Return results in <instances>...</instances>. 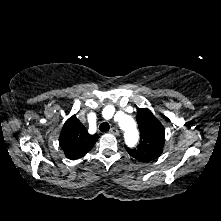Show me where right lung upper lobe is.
I'll use <instances>...</instances> for the list:
<instances>
[{
	"label": "right lung upper lobe",
	"instance_id": "cb5924a9",
	"mask_svg": "<svg viewBox=\"0 0 221 221\" xmlns=\"http://www.w3.org/2000/svg\"><path fill=\"white\" fill-rule=\"evenodd\" d=\"M98 135H90L75 115L64 124L59 144L66 158L76 160L92 149L98 140Z\"/></svg>",
	"mask_w": 221,
	"mask_h": 221
}]
</instances>
